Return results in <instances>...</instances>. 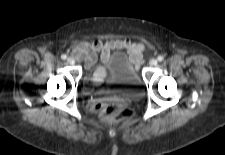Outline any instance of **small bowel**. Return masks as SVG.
I'll return each instance as SVG.
<instances>
[{
  "mask_svg": "<svg viewBox=\"0 0 225 155\" xmlns=\"http://www.w3.org/2000/svg\"><path fill=\"white\" fill-rule=\"evenodd\" d=\"M121 50L129 54V61L135 67H138L142 62V52L144 45L139 42H131L129 39L110 40L102 42L95 40L93 42L84 41L73 48V56L76 60L84 63L87 69L96 65L98 58L99 65L93 73V82L102 86L107 78L105 65L113 51Z\"/></svg>",
  "mask_w": 225,
  "mask_h": 155,
  "instance_id": "c3829d8e",
  "label": "small bowel"
}]
</instances>
